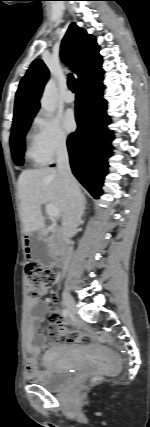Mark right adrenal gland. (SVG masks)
Returning a JSON list of instances; mask_svg holds the SVG:
<instances>
[{
  "label": "right adrenal gland",
  "mask_w": 150,
  "mask_h": 427,
  "mask_svg": "<svg viewBox=\"0 0 150 427\" xmlns=\"http://www.w3.org/2000/svg\"><path fill=\"white\" fill-rule=\"evenodd\" d=\"M84 206L86 205V198L83 196Z\"/></svg>",
  "instance_id": "2a0ac1e0"
}]
</instances>
